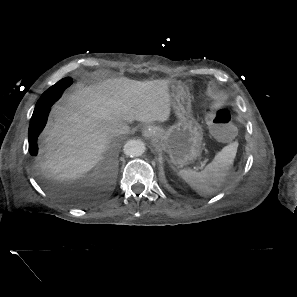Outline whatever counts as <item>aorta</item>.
I'll list each match as a JSON object with an SVG mask.
<instances>
[{"label": "aorta", "instance_id": "1", "mask_svg": "<svg viewBox=\"0 0 297 297\" xmlns=\"http://www.w3.org/2000/svg\"><path fill=\"white\" fill-rule=\"evenodd\" d=\"M145 151V144L142 140H129L123 147V152L128 157L141 156Z\"/></svg>", "mask_w": 297, "mask_h": 297}]
</instances>
